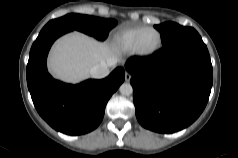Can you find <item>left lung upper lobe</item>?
I'll return each mask as SVG.
<instances>
[{
    "label": "left lung upper lobe",
    "mask_w": 238,
    "mask_h": 158,
    "mask_svg": "<svg viewBox=\"0 0 238 158\" xmlns=\"http://www.w3.org/2000/svg\"><path fill=\"white\" fill-rule=\"evenodd\" d=\"M155 28L161 33L163 45L174 41L175 39L190 35L196 31L191 27H183L173 22H165L155 25Z\"/></svg>",
    "instance_id": "obj_1"
}]
</instances>
